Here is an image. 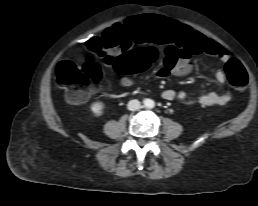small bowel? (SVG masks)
Returning <instances> with one entry per match:
<instances>
[{
	"mask_svg": "<svg viewBox=\"0 0 258 206\" xmlns=\"http://www.w3.org/2000/svg\"><path fill=\"white\" fill-rule=\"evenodd\" d=\"M118 28L120 27L114 26L108 29L104 33L103 39L99 40L112 56H118L124 47L123 42L117 39V35L119 34ZM162 40L166 43V46L163 49V64L155 73V76L158 78H164L169 75H188L193 70V63L191 61L192 54L206 53L218 58L222 63L230 59L229 51L224 49L219 43L208 40L199 32L193 31L191 28L184 25H174L173 31L162 36ZM215 78L219 84H224L226 74L222 69H217ZM120 85L123 87H132L135 85V80L130 77H122L120 79ZM162 97L167 101L174 99L185 101L188 97V92H176L175 90L167 89L163 91ZM230 100L231 94L228 92H208L199 95L194 100L188 101L187 103L201 106H223L228 104Z\"/></svg>",
	"mask_w": 258,
	"mask_h": 206,
	"instance_id": "small-bowel-1",
	"label": "small bowel"
}]
</instances>
